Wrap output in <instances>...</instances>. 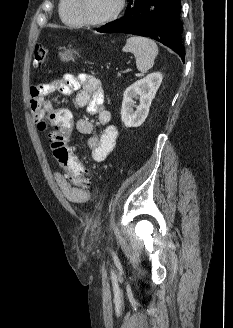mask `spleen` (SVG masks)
Returning <instances> with one entry per match:
<instances>
[{"label": "spleen", "mask_w": 233, "mask_h": 328, "mask_svg": "<svg viewBox=\"0 0 233 328\" xmlns=\"http://www.w3.org/2000/svg\"><path fill=\"white\" fill-rule=\"evenodd\" d=\"M123 51L131 52L135 56L137 69L141 73H146L154 65V60L158 55V46L147 37L132 36L127 39Z\"/></svg>", "instance_id": "3e777b00"}]
</instances>
